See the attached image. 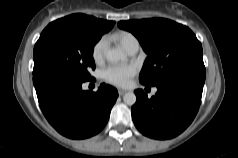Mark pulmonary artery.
<instances>
[{
	"label": "pulmonary artery",
	"mask_w": 238,
	"mask_h": 158,
	"mask_svg": "<svg viewBox=\"0 0 238 158\" xmlns=\"http://www.w3.org/2000/svg\"><path fill=\"white\" fill-rule=\"evenodd\" d=\"M139 50V43L138 41L133 42L127 49L128 54L134 55ZM154 92H156V89H154Z\"/></svg>",
	"instance_id": "1"
}]
</instances>
